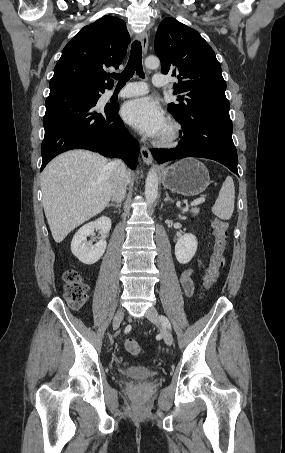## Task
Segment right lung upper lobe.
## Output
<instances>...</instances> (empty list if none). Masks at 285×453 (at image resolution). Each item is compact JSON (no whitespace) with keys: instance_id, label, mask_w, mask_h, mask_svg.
I'll use <instances>...</instances> for the list:
<instances>
[{"instance_id":"cb5924a9","label":"right lung upper lobe","mask_w":285,"mask_h":453,"mask_svg":"<svg viewBox=\"0 0 285 453\" xmlns=\"http://www.w3.org/2000/svg\"><path fill=\"white\" fill-rule=\"evenodd\" d=\"M130 43L126 24L103 16L83 27L64 47L50 80V90L74 87L88 92H104L113 84L107 70L118 68Z\"/></svg>"}]
</instances>
